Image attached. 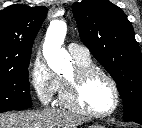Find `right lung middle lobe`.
Segmentation results:
<instances>
[{
  "mask_svg": "<svg viewBox=\"0 0 142 128\" xmlns=\"http://www.w3.org/2000/svg\"><path fill=\"white\" fill-rule=\"evenodd\" d=\"M28 66L29 61L13 69L0 70V113L32 106Z\"/></svg>",
  "mask_w": 142,
  "mask_h": 128,
  "instance_id": "1",
  "label": "right lung middle lobe"
}]
</instances>
